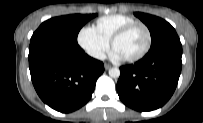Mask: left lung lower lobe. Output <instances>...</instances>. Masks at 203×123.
<instances>
[{
    "mask_svg": "<svg viewBox=\"0 0 203 123\" xmlns=\"http://www.w3.org/2000/svg\"><path fill=\"white\" fill-rule=\"evenodd\" d=\"M180 40L150 51L135 64L120 67L117 92L121 101L137 111L162 107L173 95L182 68Z\"/></svg>",
    "mask_w": 203,
    "mask_h": 123,
    "instance_id": "0a47b994",
    "label": "left lung lower lobe"
}]
</instances>
